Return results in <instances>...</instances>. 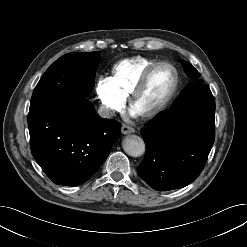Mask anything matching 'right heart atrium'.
Returning a JSON list of instances; mask_svg holds the SVG:
<instances>
[{
  "label": "right heart atrium",
  "instance_id": "1",
  "mask_svg": "<svg viewBox=\"0 0 247 247\" xmlns=\"http://www.w3.org/2000/svg\"><path fill=\"white\" fill-rule=\"evenodd\" d=\"M95 93L100 104V111L106 117L122 110L125 105V98L116 91L109 77H100L97 80Z\"/></svg>",
  "mask_w": 247,
  "mask_h": 247
}]
</instances>
